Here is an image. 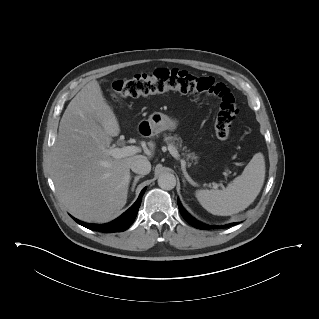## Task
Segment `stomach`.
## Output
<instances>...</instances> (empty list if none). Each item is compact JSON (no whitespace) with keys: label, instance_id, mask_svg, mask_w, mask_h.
<instances>
[{"label":"stomach","instance_id":"1","mask_svg":"<svg viewBox=\"0 0 319 319\" xmlns=\"http://www.w3.org/2000/svg\"><path fill=\"white\" fill-rule=\"evenodd\" d=\"M146 122L148 123L151 134L154 135L165 130L174 131L178 125L176 120L160 112L152 113Z\"/></svg>","mask_w":319,"mask_h":319}]
</instances>
